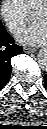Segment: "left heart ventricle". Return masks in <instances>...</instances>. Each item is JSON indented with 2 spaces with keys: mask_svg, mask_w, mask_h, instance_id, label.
Listing matches in <instances>:
<instances>
[{
  "mask_svg": "<svg viewBox=\"0 0 47 129\" xmlns=\"http://www.w3.org/2000/svg\"><path fill=\"white\" fill-rule=\"evenodd\" d=\"M46 16L47 15L45 14V12L43 10H41V11L34 12L33 19L35 21H40V22L46 23Z\"/></svg>",
  "mask_w": 47,
  "mask_h": 129,
  "instance_id": "obj_1",
  "label": "left heart ventricle"
}]
</instances>
